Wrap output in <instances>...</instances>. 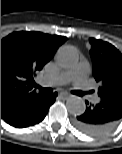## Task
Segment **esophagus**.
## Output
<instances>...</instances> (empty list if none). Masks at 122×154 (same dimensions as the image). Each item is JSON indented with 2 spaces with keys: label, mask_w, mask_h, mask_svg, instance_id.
<instances>
[{
  "label": "esophagus",
  "mask_w": 122,
  "mask_h": 154,
  "mask_svg": "<svg viewBox=\"0 0 122 154\" xmlns=\"http://www.w3.org/2000/svg\"><path fill=\"white\" fill-rule=\"evenodd\" d=\"M60 96H61L62 98H64V99H68L71 95H70L69 93H67V92H61V93H60Z\"/></svg>",
  "instance_id": "34e87169"
}]
</instances>
